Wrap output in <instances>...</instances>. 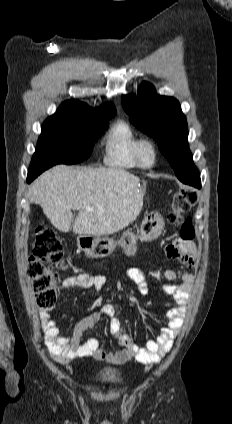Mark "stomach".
<instances>
[{
	"instance_id": "stomach-1",
	"label": "stomach",
	"mask_w": 232,
	"mask_h": 424,
	"mask_svg": "<svg viewBox=\"0 0 232 424\" xmlns=\"http://www.w3.org/2000/svg\"><path fill=\"white\" fill-rule=\"evenodd\" d=\"M164 220L161 216L145 219L140 227L138 236L132 232H125L119 241H115L108 237H92L79 236L78 245L83 249L85 254L92 258H103L109 256L115 249L116 245H120L127 254L135 252L137 239L143 241H153L159 237L164 229Z\"/></svg>"
}]
</instances>
